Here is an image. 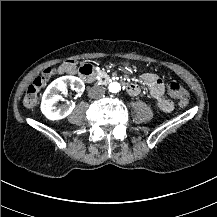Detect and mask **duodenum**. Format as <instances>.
<instances>
[{"label": "duodenum", "instance_id": "duodenum-1", "mask_svg": "<svg viewBox=\"0 0 217 217\" xmlns=\"http://www.w3.org/2000/svg\"><path fill=\"white\" fill-rule=\"evenodd\" d=\"M96 69L92 64H84L80 68V75L86 82H92L95 78ZM126 91L131 95H136L139 92V88L134 83H128L125 85Z\"/></svg>", "mask_w": 217, "mask_h": 217}]
</instances>
